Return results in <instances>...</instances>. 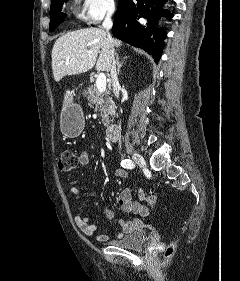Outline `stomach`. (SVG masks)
Instances as JSON below:
<instances>
[{"instance_id": "stomach-1", "label": "stomach", "mask_w": 240, "mask_h": 281, "mask_svg": "<svg viewBox=\"0 0 240 281\" xmlns=\"http://www.w3.org/2000/svg\"><path fill=\"white\" fill-rule=\"evenodd\" d=\"M74 92L68 90L60 113V128L62 133L70 138L80 135L84 128V116L79 105L73 102Z\"/></svg>"}]
</instances>
